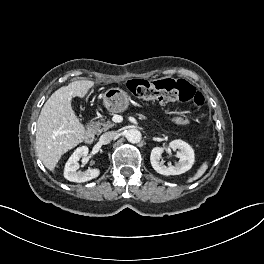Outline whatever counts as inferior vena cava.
Segmentation results:
<instances>
[{
    "label": "inferior vena cava",
    "instance_id": "inferior-vena-cava-1",
    "mask_svg": "<svg viewBox=\"0 0 264 264\" xmlns=\"http://www.w3.org/2000/svg\"><path fill=\"white\" fill-rule=\"evenodd\" d=\"M115 136H116V132H113V131L106 132L100 136L99 141L100 143L105 145V144L110 143L114 139Z\"/></svg>",
    "mask_w": 264,
    "mask_h": 264
}]
</instances>
